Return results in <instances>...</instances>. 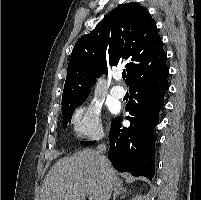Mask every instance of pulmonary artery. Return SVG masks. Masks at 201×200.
<instances>
[{
    "label": "pulmonary artery",
    "mask_w": 201,
    "mask_h": 200,
    "mask_svg": "<svg viewBox=\"0 0 201 200\" xmlns=\"http://www.w3.org/2000/svg\"><path fill=\"white\" fill-rule=\"evenodd\" d=\"M111 94L115 98L121 99L125 95V90H124V88L122 86L116 85L111 89Z\"/></svg>",
    "instance_id": "pulmonary-artery-1"
}]
</instances>
